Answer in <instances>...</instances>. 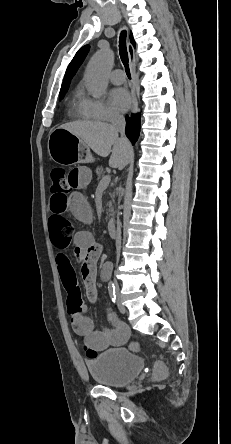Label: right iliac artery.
I'll return each instance as SVG.
<instances>
[{
    "mask_svg": "<svg viewBox=\"0 0 231 444\" xmlns=\"http://www.w3.org/2000/svg\"><path fill=\"white\" fill-rule=\"evenodd\" d=\"M108 292H109V295H110V298H111L112 302L115 303V301H116V294H115V286H114L113 282H109V284H108Z\"/></svg>",
    "mask_w": 231,
    "mask_h": 444,
    "instance_id": "right-iliac-artery-1",
    "label": "right iliac artery"
}]
</instances>
